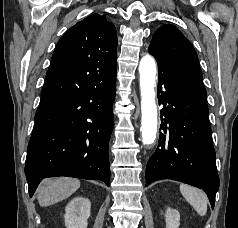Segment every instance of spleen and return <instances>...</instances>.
I'll list each match as a JSON object with an SVG mask.
<instances>
[{"instance_id":"obj_1","label":"spleen","mask_w":238,"mask_h":228,"mask_svg":"<svg viewBox=\"0 0 238 228\" xmlns=\"http://www.w3.org/2000/svg\"><path fill=\"white\" fill-rule=\"evenodd\" d=\"M180 192L200 216L206 214L208 198L203 191L190 185L181 184Z\"/></svg>"}]
</instances>
